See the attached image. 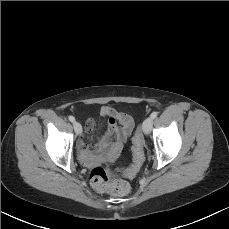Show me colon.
Returning a JSON list of instances; mask_svg holds the SVG:
<instances>
[{
    "instance_id": "5ec220e1",
    "label": "colon",
    "mask_w": 229,
    "mask_h": 229,
    "mask_svg": "<svg viewBox=\"0 0 229 229\" xmlns=\"http://www.w3.org/2000/svg\"><path fill=\"white\" fill-rule=\"evenodd\" d=\"M144 138L137 132L133 139L134 163L132 172L136 173L143 163L144 158ZM112 171L105 167H96L91 171L90 180L92 186L99 190L108 192L115 197H126L130 193V186L123 179L111 180Z\"/></svg>"
}]
</instances>
